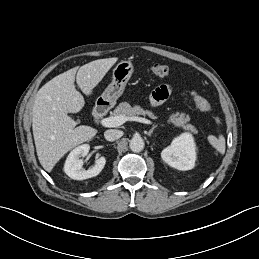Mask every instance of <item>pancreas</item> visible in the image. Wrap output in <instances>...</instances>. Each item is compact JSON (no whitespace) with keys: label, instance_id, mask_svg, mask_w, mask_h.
Listing matches in <instances>:
<instances>
[{"label":"pancreas","instance_id":"obj_1","mask_svg":"<svg viewBox=\"0 0 259 259\" xmlns=\"http://www.w3.org/2000/svg\"><path fill=\"white\" fill-rule=\"evenodd\" d=\"M113 115L114 116L123 115L127 118L135 117L138 115H148L150 118H155L154 114L151 111L144 110L138 105H135L132 107L127 102L120 103L114 110ZM188 121H189L188 116H186L184 113L176 112L170 115L167 122L169 124H173L176 127L196 133L197 130L193 125L187 123Z\"/></svg>","mask_w":259,"mask_h":259}]
</instances>
